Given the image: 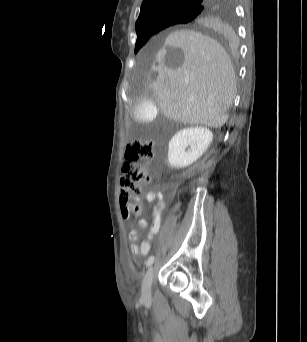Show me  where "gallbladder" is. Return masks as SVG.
Masks as SVG:
<instances>
[{
	"mask_svg": "<svg viewBox=\"0 0 307 342\" xmlns=\"http://www.w3.org/2000/svg\"><path fill=\"white\" fill-rule=\"evenodd\" d=\"M135 111L133 117L136 118L137 123H151L155 113L156 105L154 103H148L146 100L141 103L134 104Z\"/></svg>",
	"mask_w": 307,
	"mask_h": 342,
	"instance_id": "obj_1",
	"label": "gallbladder"
}]
</instances>
